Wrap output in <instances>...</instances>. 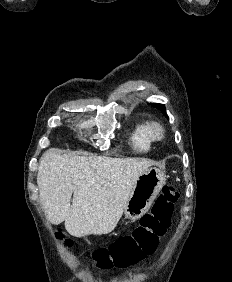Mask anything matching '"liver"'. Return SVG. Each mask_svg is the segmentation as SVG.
<instances>
[{"label": "liver", "mask_w": 232, "mask_h": 282, "mask_svg": "<svg viewBox=\"0 0 232 282\" xmlns=\"http://www.w3.org/2000/svg\"><path fill=\"white\" fill-rule=\"evenodd\" d=\"M152 165L145 159L61 155L55 148L47 150L37 174L47 219L53 224L65 222L74 237L111 232L138 177Z\"/></svg>", "instance_id": "obj_1"}]
</instances>
